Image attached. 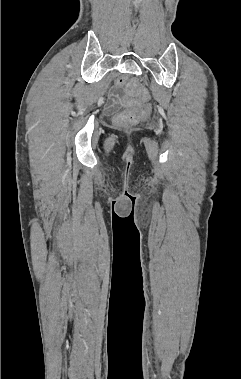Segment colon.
I'll list each match as a JSON object with an SVG mask.
<instances>
[{
    "label": "colon",
    "mask_w": 241,
    "mask_h": 379,
    "mask_svg": "<svg viewBox=\"0 0 241 379\" xmlns=\"http://www.w3.org/2000/svg\"><path fill=\"white\" fill-rule=\"evenodd\" d=\"M120 82H122V80ZM141 95L144 98H138L137 101L131 100L126 96H121L120 102L122 106L127 108L128 110H126L116 118L117 124L135 123L142 115L145 114V109L143 105L146 104L145 98L147 97V95L144 91H141ZM146 107L148 110H153L155 106L153 103H148Z\"/></svg>",
    "instance_id": "1"
}]
</instances>
